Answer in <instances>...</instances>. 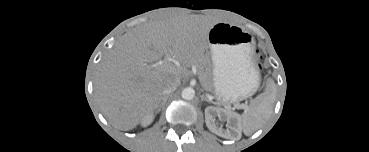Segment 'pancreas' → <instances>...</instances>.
I'll return each mask as SVG.
<instances>
[{"instance_id":"obj_1","label":"pancreas","mask_w":369,"mask_h":152,"mask_svg":"<svg viewBox=\"0 0 369 152\" xmlns=\"http://www.w3.org/2000/svg\"><path fill=\"white\" fill-rule=\"evenodd\" d=\"M202 84H203V87L208 90V91H212V87H211V83L209 81V79H207L204 75L200 74L199 76Z\"/></svg>"}]
</instances>
